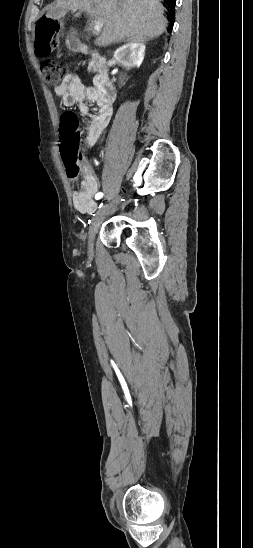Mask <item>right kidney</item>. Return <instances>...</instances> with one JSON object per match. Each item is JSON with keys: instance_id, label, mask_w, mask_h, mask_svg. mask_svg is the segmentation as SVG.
<instances>
[{"instance_id": "right-kidney-1", "label": "right kidney", "mask_w": 253, "mask_h": 548, "mask_svg": "<svg viewBox=\"0 0 253 548\" xmlns=\"http://www.w3.org/2000/svg\"><path fill=\"white\" fill-rule=\"evenodd\" d=\"M145 45L131 41L119 47L114 53V59L126 68L139 67L142 64Z\"/></svg>"}]
</instances>
